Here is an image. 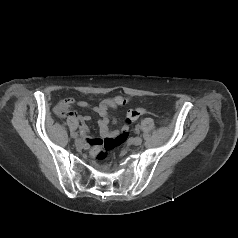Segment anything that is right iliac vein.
I'll list each match as a JSON object with an SVG mask.
<instances>
[{"label": "right iliac vein", "instance_id": "obj_1", "mask_svg": "<svg viewBox=\"0 0 238 238\" xmlns=\"http://www.w3.org/2000/svg\"><path fill=\"white\" fill-rule=\"evenodd\" d=\"M75 144H76L77 147H82L83 146V141L80 138H78V139L75 140Z\"/></svg>", "mask_w": 238, "mask_h": 238}]
</instances>
